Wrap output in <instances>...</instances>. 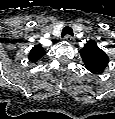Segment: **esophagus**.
Segmentation results:
<instances>
[{
	"label": "esophagus",
	"mask_w": 115,
	"mask_h": 119,
	"mask_svg": "<svg viewBox=\"0 0 115 119\" xmlns=\"http://www.w3.org/2000/svg\"><path fill=\"white\" fill-rule=\"evenodd\" d=\"M64 40L68 43H71L74 40V37H72L70 35H67V36L64 37Z\"/></svg>",
	"instance_id": "1"
}]
</instances>
